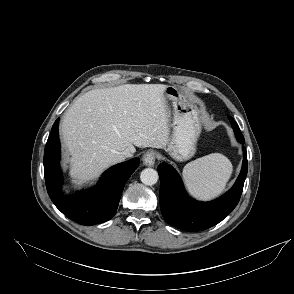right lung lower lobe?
Instances as JSON below:
<instances>
[{"label": "right lung lower lobe", "instance_id": "obj_1", "mask_svg": "<svg viewBox=\"0 0 294 294\" xmlns=\"http://www.w3.org/2000/svg\"><path fill=\"white\" fill-rule=\"evenodd\" d=\"M59 119L52 126L44 151V173L47 192L55 206L69 219L94 225L110 220L116 213L125 183L139 165V158L117 164L104 172L98 184L70 197L60 191L62 184Z\"/></svg>", "mask_w": 294, "mask_h": 294}]
</instances>
